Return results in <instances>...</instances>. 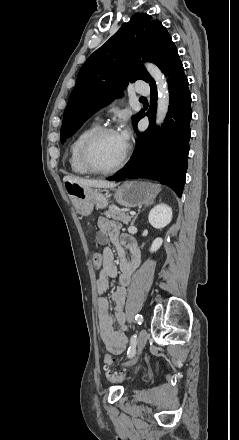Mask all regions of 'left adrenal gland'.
Listing matches in <instances>:
<instances>
[{"instance_id":"1","label":"left adrenal gland","mask_w":239,"mask_h":440,"mask_svg":"<svg viewBox=\"0 0 239 440\" xmlns=\"http://www.w3.org/2000/svg\"><path fill=\"white\" fill-rule=\"evenodd\" d=\"M138 214H139V212H138ZM138 214H136V216H134V218H133V220H132V222H131V226H133V224H134V222H135V220H136Z\"/></svg>"}]
</instances>
